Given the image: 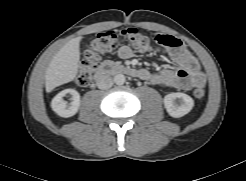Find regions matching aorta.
Here are the masks:
<instances>
[{"mask_svg":"<svg viewBox=\"0 0 246 181\" xmlns=\"http://www.w3.org/2000/svg\"><path fill=\"white\" fill-rule=\"evenodd\" d=\"M126 81V78L123 74H117L114 76V83L117 85H123Z\"/></svg>","mask_w":246,"mask_h":181,"instance_id":"obj_1","label":"aorta"}]
</instances>
